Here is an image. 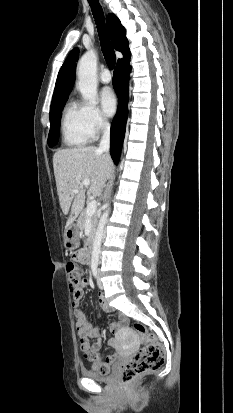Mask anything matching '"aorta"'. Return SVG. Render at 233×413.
Masks as SVG:
<instances>
[{
    "instance_id": "obj_1",
    "label": "aorta",
    "mask_w": 233,
    "mask_h": 413,
    "mask_svg": "<svg viewBox=\"0 0 233 413\" xmlns=\"http://www.w3.org/2000/svg\"><path fill=\"white\" fill-rule=\"evenodd\" d=\"M97 55L94 51H87L79 60L77 66L78 83L77 87L80 90L83 99L90 105L97 104ZM105 211L100 217L99 224L96 230L93 249L91 255L92 266H97L101 252V243L104 233V228L109 215V203L105 204Z\"/></svg>"
}]
</instances>
